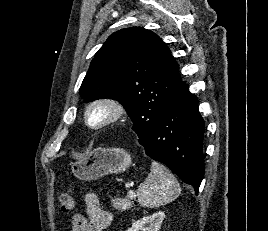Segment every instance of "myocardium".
I'll list each match as a JSON object with an SVG mask.
<instances>
[{"mask_svg":"<svg viewBox=\"0 0 268 231\" xmlns=\"http://www.w3.org/2000/svg\"><path fill=\"white\" fill-rule=\"evenodd\" d=\"M97 107H103L106 109L107 115L103 120L97 123H92L90 121L89 115L91 110ZM124 114V106L118 99L110 96H101L94 98L87 104L84 117L88 127L94 130H99L118 122L122 119Z\"/></svg>","mask_w":268,"mask_h":231,"instance_id":"f54148a6","label":"myocardium"}]
</instances>
